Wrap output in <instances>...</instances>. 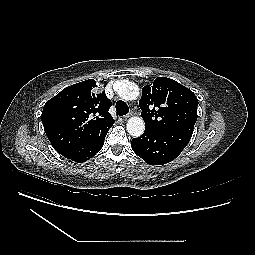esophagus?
Instances as JSON below:
<instances>
[{"mask_svg": "<svg viewBox=\"0 0 255 255\" xmlns=\"http://www.w3.org/2000/svg\"><path fill=\"white\" fill-rule=\"evenodd\" d=\"M132 113H133V112H130V113H128V114H126V115H124V116H123V118H124V119L129 118L130 116H132Z\"/></svg>", "mask_w": 255, "mask_h": 255, "instance_id": "obj_1", "label": "esophagus"}]
</instances>
